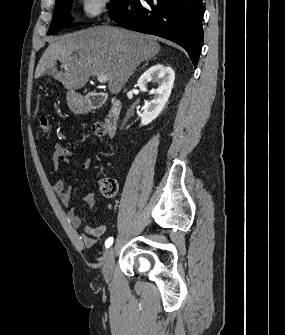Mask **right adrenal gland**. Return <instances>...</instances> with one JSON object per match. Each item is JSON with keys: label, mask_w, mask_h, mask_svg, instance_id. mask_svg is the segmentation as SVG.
<instances>
[{"label": "right adrenal gland", "mask_w": 285, "mask_h": 335, "mask_svg": "<svg viewBox=\"0 0 285 335\" xmlns=\"http://www.w3.org/2000/svg\"><path fill=\"white\" fill-rule=\"evenodd\" d=\"M150 60H152V58H150ZM147 64H149V60H146L145 64H143V66H147Z\"/></svg>", "instance_id": "right-adrenal-gland-1"}]
</instances>
